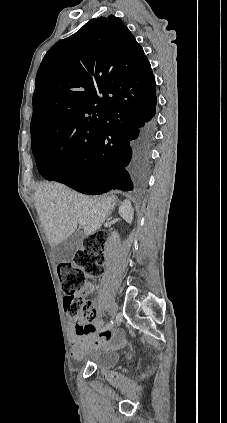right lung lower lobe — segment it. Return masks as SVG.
Instances as JSON below:
<instances>
[{
  "instance_id": "right-lung-lower-lobe-1",
  "label": "right lung lower lobe",
  "mask_w": 227,
  "mask_h": 423,
  "mask_svg": "<svg viewBox=\"0 0 227 423\" xmlns=\"http://www.w3.org/2000/svg\"><path fill=\"white\" fill-rule=\"evenodd\" d=\"M155 108L156 90L147 96H128L113 103L93 149L71 174L55 181L88 195L116 189L131 191L130 175L135 181H142L147 170L152 143L148 121Z\"/></svg>"
}]
</instances>
